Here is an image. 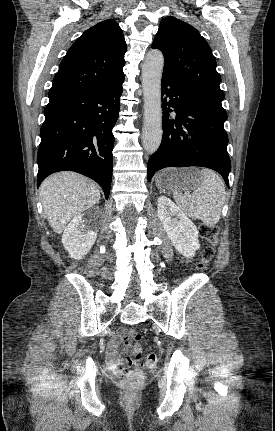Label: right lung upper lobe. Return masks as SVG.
I'll use <instances>...</instances> for the list:
<instances>
[{"mask_svg": "<svg viewBox=\"0 0 275 431\" xmlns=\"http://www.w3.org/2000/svg\"><path fill=\"white\" fill-rule=\"evenodd\" d=\"M126 49L122 30L113 19L91 27L62 59L49 100L105 89L124 80Z\"/></svg>", "mask_w": 275, "mask_h": 431, "instance_id": "1", "label": "right lung upper lobe"}]
</instances>
